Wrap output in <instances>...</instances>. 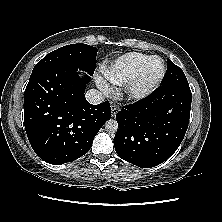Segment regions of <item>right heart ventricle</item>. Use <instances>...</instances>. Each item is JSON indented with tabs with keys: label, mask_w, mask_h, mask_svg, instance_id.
<instances>
[{
	"label": "right heart ventricle",
	"mask_w": 222,
	"mask_h": 222,
	"mask_svg": "<svg viewBox=\"0 0 222 222\" xmlns=\"http://www.w3.org/2000/svg\"><path fill=\"white\" fill-rule=\"evenodd\" d=\"M152 56L130 52L118 57L103 68L105 77L114 85H126L139 73Z\"/></svg>",
	"instance_id": "obj_1"
}]
</instances>
